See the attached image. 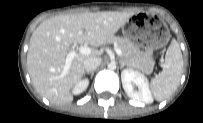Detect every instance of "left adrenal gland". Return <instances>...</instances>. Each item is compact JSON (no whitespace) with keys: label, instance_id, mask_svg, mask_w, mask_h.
<instances>
[{"label":"left adrenal gland","instance_id":"1","mask_svg":"<svg viewBox=\"0 0 203 123\" xmlns=\"http://www.w3.org/2000/svg\"><path fill=\"white\" fill-rule=\"evenodd\" d=\"M126 65H127L126 62L123 59H120V68L122 69Z\"/></svg>","mask_w":203,"mask_h":123}]
</instances>
